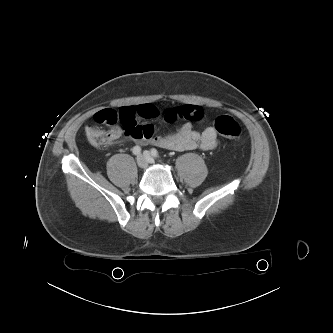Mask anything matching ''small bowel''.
I'll use <instances>...</instances> for the list:
<instances>
[{"mask_svg":"<svg viewBox=\"0 0 333 333\" xmlns=\"http://www.w3.org/2000/svg\"><path fill=\"white\" fill-rule=\"evenodd\" d=\"M132 109L139 118L148 120L162 119L168 124L181 121L182 124L164 134L157 133L152 124H138L136 130L132 133L114 131L111 134V143L128 139L137 144H152L160 148L176 151L194 149L209 151L219 145L218 134L214 127H207L203 131H198L194 128L193 123L200 121L204 116V111L199 106L183 105L160 111L151 104H143Z\"/></svg>","mask_w":333,"mask_h":333,"instance_id":"1","label":"small bowel"}]
</instances>
